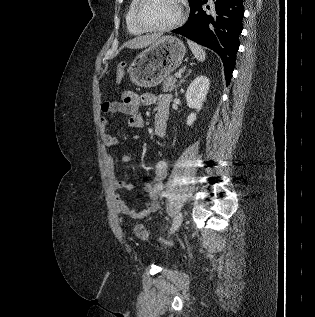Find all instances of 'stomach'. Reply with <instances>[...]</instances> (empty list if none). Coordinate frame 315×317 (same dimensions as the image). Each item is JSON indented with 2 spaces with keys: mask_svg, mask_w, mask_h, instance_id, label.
<instances>
[{
  "mask_svg": "<svg viewBox=\"0 0 315 317\" xmlns=\"http://www.w3.org/2000/svg\"><path fill=\"white\" fill-rule=\"evenodd\" d=\"M186 53L183 42L173 36H162L139 53L129 67V77L140 87L159 85L177 69Z\"/></svg>",
  "mask_w": 315,
  "mask_h": 317,
  "instance_id": "1",
  "label": "stomach"
}]
</instances>
